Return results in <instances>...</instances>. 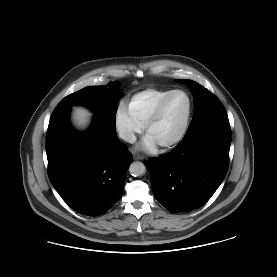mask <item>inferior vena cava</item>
<instances>
[{"mask_svg": "<svg viewBox=\"0 0 277 277\" xmlns=\"http://www.w3.org/2000/svg\"><path fill=\"white\" fill-rule=\"evenodd\" d=\"M119 137L129 143H134L136 141V136L134 135V133L126 129L119 130Z\"/></svg>", "mask_w": 277, "mask_h": 277, "instance_id": "inferior-vena-cava-1", "label": "inferior vena cava"}]
</instances>
